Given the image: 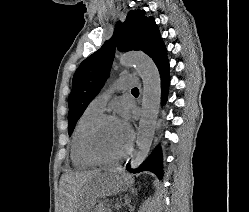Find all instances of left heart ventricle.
I'll return each instance as SVG.
<instances>
[{
    "mask_svg": "<svg viewBox=\"0 0 249 212\" xmlns=\"http://www.w3.org/2000/svg\"><path fill=\"white\" fill-rule=\"evenodd\" d=\"M128 145V137L122 130L119 121L103 123L93 139L94 152L103 159H113L121 155Z\"/></svg>",
    "mask_w": 249,
    "mask_h": 212,
    "instance_id": "1",
    "label": "left heart ventricle"
}]
</instances>
